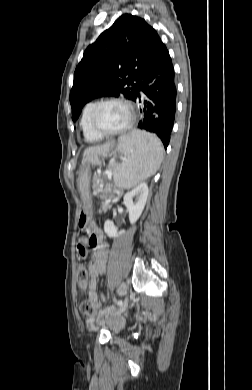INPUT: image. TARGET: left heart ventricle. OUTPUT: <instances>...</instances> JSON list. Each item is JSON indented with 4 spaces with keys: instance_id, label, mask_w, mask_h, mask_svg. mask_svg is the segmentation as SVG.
<instances>
[{
    "instance_id": "1",
    "label": "left heart ventricle",
    "mask_w": 252,
    "mask_h": 390,
    "mask_svg": "<svg viewBox=\"0 0 252 390\" xmlns=\"http://www.w3.org/2000/svg\"><path fill=\"white\" fill-rule=\"evenodd\" d=\"M130 118L129 110L120 103L103 104L96 116L98 125L106 131H114L127 124Z\"/></svg>"
}]
</instances>
